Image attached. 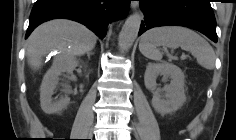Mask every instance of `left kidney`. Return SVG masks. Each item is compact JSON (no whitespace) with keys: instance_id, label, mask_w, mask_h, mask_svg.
Returning a JSON list of instances; mask_svg holds the SVG:
<instances>
[{"instance_id":"left-kidney-1","label":"left kidney","mask_w":236,"mask_h":140,"mask_svg":"<svg viewBox=\"0 0 236 140\" xmlns=\"http://www.w3.org/2000/svg\"><path fill=\"white\" fill-rule=\"evenodd\" d=\"M158 75L170 77V84L162 89L157 88L156 79ZM144 83L145 87L153 92L152 107L158 113L167 114L177 111L186 101L184 73L172 63H148ZM161 92H164V96L161 95Z\"/></svg>"}]
</instances>
